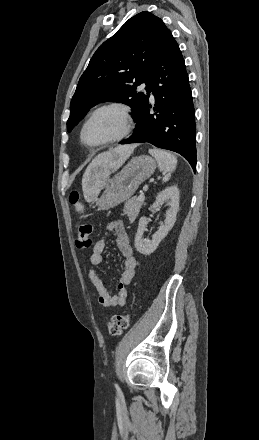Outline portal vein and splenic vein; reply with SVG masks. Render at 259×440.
Returning <instances> with one entry per match:
<instances>
[{
  "label": "portal vein and splenic vein",
  "mask_w": 259,
  "mask_h": 440,
  "mask_svg": "<svg viewBox=\"0 0 259 440\" xmlns=\"http://www.w3.org/2000/svg\"><path fill=\"white\" fill-rule=\"evenodd\" d=\"M138 200L143 202L145 200L144 194H140Z\"/></svg>",
  "instance_id": "1"
}]
</instances>
